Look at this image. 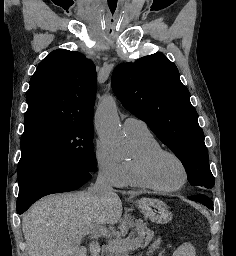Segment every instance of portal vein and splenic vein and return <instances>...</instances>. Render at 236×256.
<instances>
[{
	"mask_svg": "<svg viewBox=\"0 0 236 256\" xmlns=\"http://www.w3.org/2000/svg\"><path fill=\"white\" fill-rule=\"evenodd\" d=\"M88 230H90V232H88ZM86 234H95V236H102V234H105V230L104 228H102V226H99V228H83V230H81V236L79 238V240H83V238H85Z\"/></svg>",
	"mask_w": 236,
	"mask_h": 256,
	"instance_id": "18ae733b",
	"label": "portal vein and splenic vein"
}]
</instances>
